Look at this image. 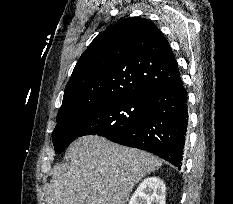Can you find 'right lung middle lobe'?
Masks as SVG:
<instances>
[{
  "label": "right lung middle lobe",
  "mask_w": 233,
  "mask_h": 204,
  "mask_svg": "<svg viewBox=\"0 0 233 204\" xmlns=\"http://www.w3.org/2000/svg\"><path fill=\"white\" fill-rule=\"evenodd\" d=\"M149 95H141L108 102L89 112L75 115L56 127L52 141L60 152L70 141L85 135L107 139L132 129L149 117Z\"/></svg>",
  "instance_id": "right-lung-middle-lobe-1"
}]
</instances>
